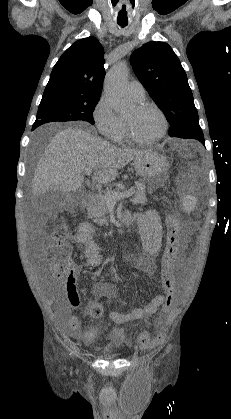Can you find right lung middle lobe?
<instances>
[{
  "label": "right lung middle lobe",
  "mask_w": 231,
  "mask_h": 419,
  "mask_svg": "<svg viewBox=\"0 0 231 419\" xmlns=\"http://www.w3.org/2000/svg\"><path fill=\"white\" fill-rule=\"evenodd\" d=\"M100 94H85L68 88H45L36 121L38 127L51 121L83 120L94 124L93 111Z\"/></svg>",
  "instance_id": "dd1d6c3e"
}]
</instances>
